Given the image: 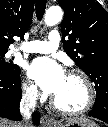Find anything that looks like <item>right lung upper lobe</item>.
<instances>
[{"mask_svg":"<svg viewBox=\"0 0 108 127\" xmlns=\"http://www.w3.org/2000/svg\"><path fill=\"white\" fill-rule=\"evenodd\" d=\"M33 10L34 0H0V50L8 51L13 36L24 37Z\"/></svg>","mask_w":108,"mask_h":127,"instance_id":"1","label":"right lung upper lobe"}]
</instances>
